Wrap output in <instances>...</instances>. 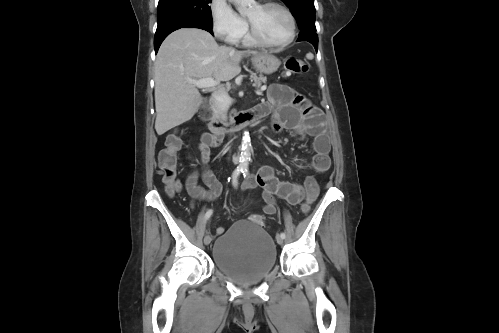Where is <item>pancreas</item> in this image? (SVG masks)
<instances>
[{"mask_svg": "<svg viewBox=\"0 0 499 333\" xmlns=\"http://www.w3.org/2000/svg\"><path fill=\"white\" fill-rule=\"evenodd\" d=\"M251 79L254 81V86L256 88H260L262 83H266L267 81V78L264 77L263 75L257 76L255 74L251 75Z\"/></svg>", "mask_w": 499, "mask_h": 333, "instance_id": "1", "label": "pancreas"}]
</instances>
